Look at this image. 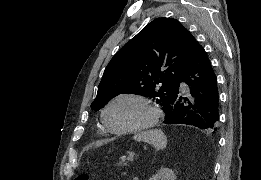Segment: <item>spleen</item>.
I'll return each mask as SVG.
<instances>
[{"mask_svg": "<svg viewBox=\"0 0 261 180\" xmlns=\"http://www.w3.org/2000/svg\"><path fill=\"white\" fill-rule=\"evenodd\" d=\"M134 140L137 142H148L153 144L156 150H164L167 144V138L161 130H146V132H139L134 136Z\"/></svg>", "mask_w": 261, "mask_h": 180, "instance_id": "3e777b00", "label": "spleen"}]
</instances>
